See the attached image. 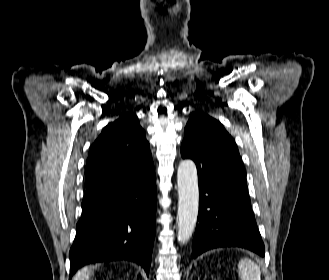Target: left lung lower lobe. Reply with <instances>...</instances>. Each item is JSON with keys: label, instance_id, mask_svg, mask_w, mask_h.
I'll use <instances>...</instances> for the list:
<instances>
[{"label": "left lung lower lobe", "instance_id": "0a47b994", "mask_svg": "<svg viewBox=\"0 0 329 280\" xmlns=\"http://www.w3.org/2000/svg\"><path fill=\"white\" fill-rule=\"evenodd\" d=\"M199 214L192 243V257L215 248L239 247L260 256L265 248L251 208L246 183L210 190L199 186Z\"/></svg>", "mask_w": 329, "mask_h": 280}]
</instances>
